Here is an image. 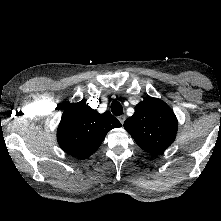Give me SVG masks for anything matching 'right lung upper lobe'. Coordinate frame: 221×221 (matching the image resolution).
Returning a JSON list of instances; mask_svg holds the SVG:
<instances>
[{
    "mask_svg": "<svg viewBox=\"0 0 221 221\" xmlns=\"http://www.w3.org/2000/svg\"><path fill=\"white\" fill-rule=\"evenodd\" d=\"M121 123L109 112L98 113L83 102L69 104L57 129V141L68 154L80 159L91 156L106 134Z\"/></svg>",
    "mask_w": 221,
    "mask_h": 221,
    "instance_id": "cb5924a9",
    "label": "right lung upper lobe"
}]
</instances>
